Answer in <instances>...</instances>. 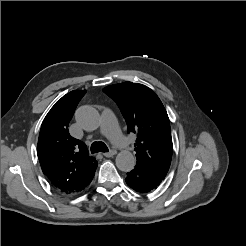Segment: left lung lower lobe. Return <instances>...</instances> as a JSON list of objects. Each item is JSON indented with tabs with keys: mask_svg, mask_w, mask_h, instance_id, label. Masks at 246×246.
<instances>
[{
	"mask_svg": "<svg viewBox=\"0 0 246 246\" xmlns=\"http://www.w3.org/2000/svg\"><path fill=\"white\" fill-rule=\"evenodd\" d=\"M125 180L128 186L136 192L148 193L157 188L163 179L148 169L136 165L132 171L127 173Z\"/></svg>",
	"mask_w": 246,
	"mask_h": 246,
	"instance_id": "0a47b994",
	"label": "left lung lower lobe"
}]
</instances>
